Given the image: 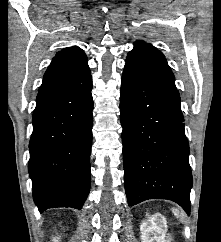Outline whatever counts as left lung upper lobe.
<instances>
[{
  "mask_svg": "<svg viewBox=\"0 0 221 242\" xmlns=\"http://www.w3.org/2000/svg\"><path fill=\"white\" fill-rule=\"evenodd\" d=\"M126 65L156 83L176 88L174 75L164 55L150 44L136 41L127 55Z\"/></svg>",
  "mask_w": 221,
  "mask_h": 242,
  "instance_id": "5c2ea615",
  "label": "left lung upper lobe"
}]
</instances>
